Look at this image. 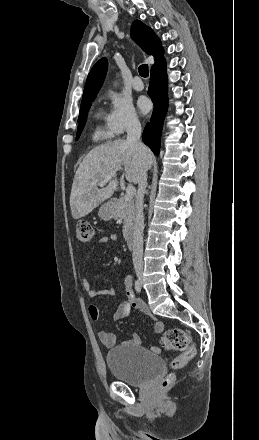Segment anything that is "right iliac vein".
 Returning a JSON list of instances; mask_svg holds the SVG:
<instances>
[{
  "label": "right iliac vein",
  "mask_w": 259,
  "mask_h": 440,
  "mask_svg": "<svg viewBox=\"0 0 259 440\" xmlns=\"http://www.w3.org/2000/svg\"><path fill=\"white\" fill-rule=\"evenodd\" d=\"M136 273H137V277H138L139 282L142 284V283H143V274H142V270H141V269H138Z\"/></svg>",
  "instance_id": "obj_1"
}]
</instances>
